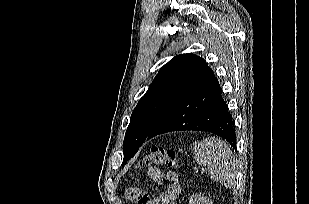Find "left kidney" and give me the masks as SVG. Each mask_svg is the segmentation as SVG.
<instances>
[{
	"mask_svg": "<svg viewBox=\"0 0 309 204\" xmlns=\"http://www.w3.org/2000/svg\"><path fill=\"white\" fill-rule=\"evenodd\" d=\"M189 204H213L209 198L204 195L194 194L189 198Z\"/></svg>",
	"mask_w": 309,
	"mask_h": 204,
	"instance_id": "left-kidney-1",
	"label": "left kidney"
}]
</instances>
